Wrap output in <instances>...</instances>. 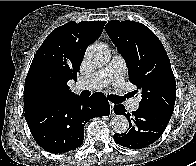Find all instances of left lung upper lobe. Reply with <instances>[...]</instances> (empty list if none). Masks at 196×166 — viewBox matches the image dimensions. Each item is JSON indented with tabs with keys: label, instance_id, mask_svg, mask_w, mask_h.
Returning <instances> with one entry per match:
<instances>
[{
	"label": "left lung upper lobe",
	"instance_id": "obj_1",
	"mask_svg": "<svg viewBox=\"0 0 196 166\" xmlns=\"http://www.w3.org/2000/svg\"><path fill=\"white\" fill-rule=\"evenodd\" d=\"M105 30L126 61L129 80L141 91L139 107L172 115L176 81L157 36L144 24L127 20L109 21Z\"/></svg>",
	"mask_w": 196,
	"mask_h": 166
}]
</instances>
